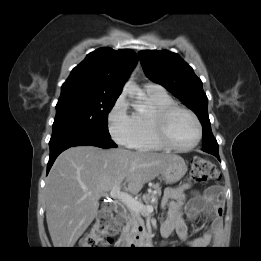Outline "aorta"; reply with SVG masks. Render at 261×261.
I'll use <instances>...</instances> for the list:
<instances>
[{
    "mask_svg": "<svg viewBox=\"0 0 261 261\" xmlns=\"http://www.w3.org/2000/svg\"><path fill=\"white\" fill-rule=\"evenodd\" d=\"M138 90V87L130 81L127 82L123 88V92L127 93L132 100L136 98ZM133 107L138 111L143 109V105L138 101L133 102Z\"/></svg>",
    "mask_w": 261,
    "mask_h": 261,
    "instance_id": "762f6f07",
    "label": "aorta"
}]
</instances>
